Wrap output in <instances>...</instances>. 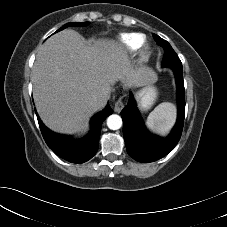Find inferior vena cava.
Wrapping results in <instances>:
<instances>
[{"label":"inferior vena cava","mask_w":227,"mask_h":227,"mask_svg":"<svg viewBox=\"0 0 227 227\" xmlns=\"http://www.w3.org/2000/svg\"><path fill=\"white\" fill-rule=\"evenodd\" d=\"M105 100V96H103L102 94L96 93L93 95V101L96 104H100Z\"/></svg>","instance_id":"602c4592"}]
</instances>
